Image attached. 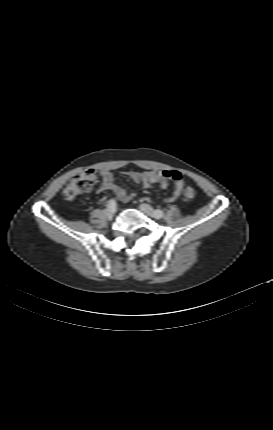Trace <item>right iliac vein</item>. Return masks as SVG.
Instances as JSON below:
<instances>
[{
	"instance_id": "1",
	"label": "right iliac vein",
	"mask_w": 273,
	"mask_h": 430,
	"mask_svg": "<svg viewBox=\"0 0 273 430\" xmlns=\"http://www.w3.org/2000/svg\"><path fill=\"white\" fill-rule=\"evenodd\" d=\"M107 214L113 216L116 213V209H107Z\"/></svg>"
}]
</instances>
